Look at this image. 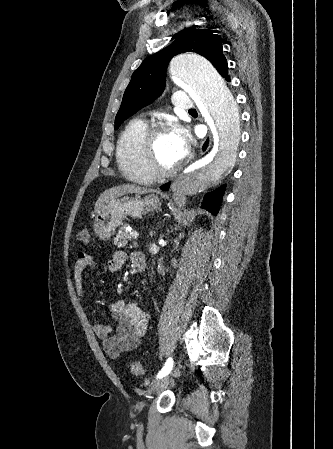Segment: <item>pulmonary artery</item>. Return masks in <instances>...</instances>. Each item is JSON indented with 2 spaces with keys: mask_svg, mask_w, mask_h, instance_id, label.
I'll return each mask as SVG.
<instances>
[{
  "mask_svg": "<svg viewBox=\"0 0 333 449\" xmlns=\"http://www.w3.org/2000/svg\"><path fill=\"white\" fill-rule=\"evenodd\" d=\"M174 103L177 107L184 109V110H190L193 108V102L189 94L185 91H178L174 94Z\"/></svg>",
  "mask_w": 333,
  "mask_h": 449,
  "instance_id": "e3ab8cb5",
  "label": "pulmonary artery"
}]
</instances>
